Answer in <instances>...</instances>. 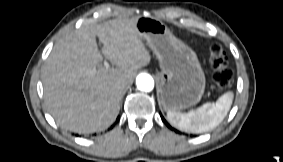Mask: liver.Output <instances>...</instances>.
Returning <instances> with one entry per match:
<instances>
[{
  "instance_id": "1",
  "label": "liver",
  "mask_w": 283,
  "mask_h": 162,
  "mask_svg": "<svg viewBox=\"0 0 283 162\" xmlns=\"http://www.w3.org/2000/svg\"><path fill=\"white\" fill-rule=\"evenodd\" d=\"M136 18L112 19L81 27L59 39L42 70L44 101L63 129L89 134L102 131L116 119L122 93L136 71L151 56L135 29ZM103 55L116 68L100 65Z\"/></svg>"
}]
</instances>
